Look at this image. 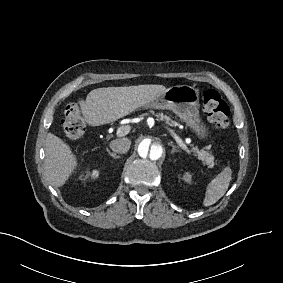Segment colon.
<instances>
[{
  "mask_svg": "<svg viewBox=\"0 0 283 283\" xmlns=\"http://www.w3.org/2000/svg\"><path fill=\"white\" fill-rule=\"evenodd\" d=\"M202 98L203 108L214 128L219 131L227 129L229 126V109L220 94L215 89L205 88L202 91ZM62 126L66 135L72 140L83 136L87 124L84 118L80 116L76 105L72 104L66 107Z\"/></svg>",
  "mask_w": 283,
  "mask_h": 283,
  "instance_id": "5ec220e1",
  "label": "colon"
}]
</instances>
